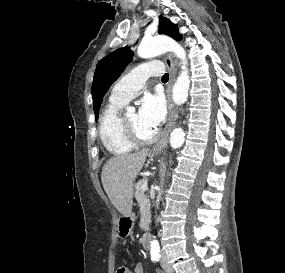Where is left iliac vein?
Instances as JSON below:
<instances>
[{"mask_svg":"<svg viewBox=\"0 0 285 273\" xmlns=\"http://www.w3.org/2000/svg\"><path fill=\"white\" fill-rule=\"evenodd\" d=\"M162 268L167 273H172L173 272V269H172L171 265H169L168 262H167L166 255L162 256Z\"/></svg>","mask_w":285,"mask_h":273,"instance_id":"left-iliac-vein-1","label":"left iliac vein"}]
</instances>
